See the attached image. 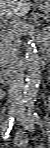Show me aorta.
Listing matches in <instances>:
<instances>
[{
    "mask_svg": "<svg viewBox=\"0 0 50 148\" xmlns=\"http://www.w3.org/2000/svg\"><path fill=\"white\" fill-rule=\"evenodd\" d=\"M27 64V83L24 87V103H31L36 99L40 83V62L37 49L32 41H28L25 52Z\"/></svg>",
    "mask_w": 50,
    "mask_h": 148,
    "instance_id": "aorta-1",
    "label": "aorta"
}]
</instances>
